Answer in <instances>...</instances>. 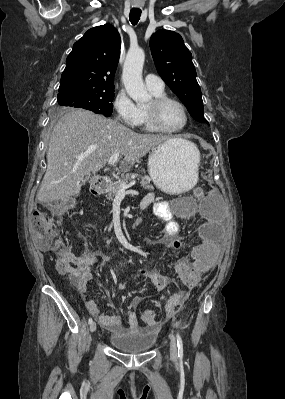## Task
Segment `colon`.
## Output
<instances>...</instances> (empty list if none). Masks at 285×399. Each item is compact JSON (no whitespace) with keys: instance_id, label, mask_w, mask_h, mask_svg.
I'll use <instances>...</instances> for the list:
<instances>
[{"instance_id":"5ec220e1","label":"colon","mask_w":285,"mask_h":399,"mask_svg":"<svg viewBox=\"0 0 285 399\" xmlns=\"http://www.w3.org/2000/svg\"><path fill=\"white\" fill-rule=\"evenodd\" d=\"M193 195L200 198L204 195V191L202 188L196 187L193 189ZM75 207L74 201H65L60 204L58 213H72ZM59 229L57 214L47 216L41 211H36L30 217L29 230L39 248L44 252L55 253L62 270L65 273L77 276L78 270L74 268L76 256L61 241L58 234ZM178 309L179 305L171 303L167 305L166 312L168 315H173ZM156 318V309L149 308L142 311V321L145 325H155Z\"/></svg>"}]
</instances>
